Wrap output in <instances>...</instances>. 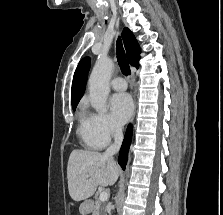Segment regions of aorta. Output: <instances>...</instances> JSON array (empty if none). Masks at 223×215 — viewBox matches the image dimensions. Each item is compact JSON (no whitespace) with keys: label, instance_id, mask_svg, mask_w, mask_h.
<instances>
[{"label":"aorta","instance_id":"762f6f07","mask_svg":"<svg viewBox=\"0 0 223 215\" xmlns=\"http://www.w3.org/2000/svg\"><path fill=\"white\" fill-rule=\"evenodd\" d=\"M113 68L114 62L111 58L98 56L88 80L90 104L98 113L106 111L105 104L110 92L109 82Z\"/></svg>","mask_w":223,"mask_h":215}]
</instances>
